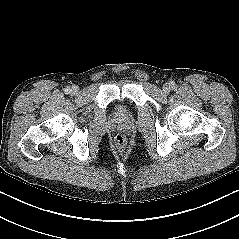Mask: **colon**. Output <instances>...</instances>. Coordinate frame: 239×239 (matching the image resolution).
I'll return each mask as SVG.
<instances>
[{"label":"colon","mask_w":239,"mask_h":239,"mask_svg":"<svg viewBox=\"0 0 239 239\" xmlns=\"http://www.w3.org/2000/svg\"><path fill=\"white\" fill-rule=\"evenodd\" d=\"M115 143L117 145V147L119 148H123L126 144V140H125V137L122 136V135H118L116 138H115Z\"/></svg>","instance_id":"colon-1"}]
</instances>
